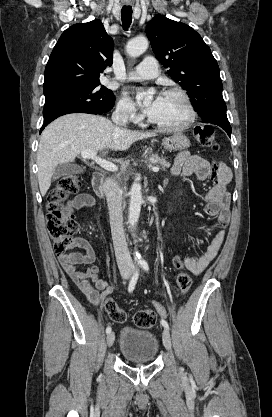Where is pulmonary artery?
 <instances>
[{
	"label": "pulmonary artery",
	"instance_id": "pulmonary-artery-1",
	"mask_svg": "<svg viewBox=\"0 0 272 417\" xmlns=\"http://www.w3.org/2000/svg\"><path fill=\"white\" fill-rule=\"evenodd\" d=\"M159 74L157 61L151 57H146L133 71L126 75L129 80L153 79Z\"/></svg>",
	"mask_w": 272,
	"mask_h": 417
}]
</instances>
